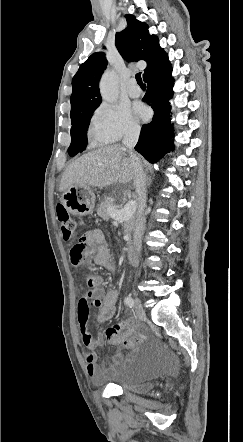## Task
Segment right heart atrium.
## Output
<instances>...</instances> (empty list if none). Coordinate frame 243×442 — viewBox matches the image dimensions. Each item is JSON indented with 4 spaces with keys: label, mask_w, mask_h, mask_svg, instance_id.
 <instances>
[{
    "label": "right heart atrium",
    "mask_w": 243,
    "mask_h": 442,
    "mask_svg": "<svg viewBox=\"0 0 243 442\" xmlns=\"http://www.w3.org/2000/svg\"><path fill=\"white\" fill-rule=\"evenodd\" d=\"M93 127L110 143L136 136L140 126L131 111L124 106L102 103L95 112Z\"/></svg>",
    "instance_id": "1"
}]
</instances>
